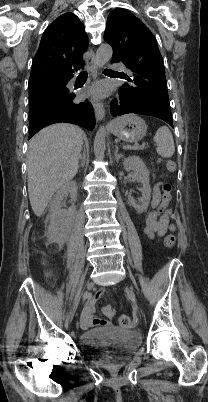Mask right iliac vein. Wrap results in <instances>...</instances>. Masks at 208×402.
<instances>
[{
  "label": "right iliac vein",
  "mask_w": 208,
  "mask_h": 402,
  "mask_svg": "<svg viewBox=\"0 0 208 402\" xmlns=\"http://www.w3.org/2000/svg\"><path fill=\"white\" fill-rule=\"evenodd\" d=\"M87 293L84 294V298L86 297Z\"/></svg>",
  "instance_id": "obj_1"
}]
</instances>
